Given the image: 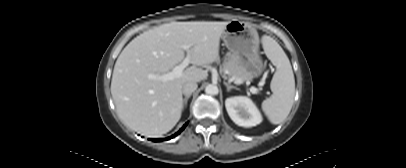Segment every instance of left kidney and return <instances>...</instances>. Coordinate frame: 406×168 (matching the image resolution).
<instances>
[{"label": "left kidney", "mask_w": 406, "mask_h": 168, "mask_svg": "<svg viewBox=\"0 0 406 168\" xmlns=\"http://www.w3.org/2000/svg\"><path fill=\"white\" fill-rule=\"evenodd\" d=\"M225 107L232 121L238 126L252 127L262 122V116L251 99L234 96L225 100Z\"/></svg>", "instance_id": "1"}]
</instances>
